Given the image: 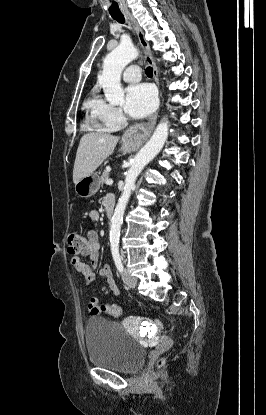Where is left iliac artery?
Returning a JSON list of instances; mask_svg holds the SVG:
<instances>
[{
    "instance_id": "left-iliac-artery-1",
    "label": "left iliac artery",
    "mask_w": 266,
    "mask_h": 415,
    "mask_svg": "<svg viewBox=\"0 0 266 415\" xmlns=\"http://www.w3.org/2000/svg\"><path fill=\"white\" fill-rule=\"evenodd\" d=\"M112 255H113V259H114V262H115V265H116L117 270L119 272H122L123 271V264H122V260H121V256H120L119 251L118 250H114L112 252Z\"/></svg>"
}]
</instances>
